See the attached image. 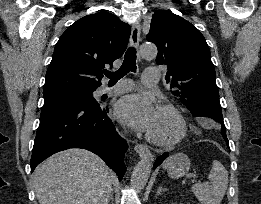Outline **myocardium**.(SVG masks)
<instances>
[{
	"mask_svg": "<svg viewBox=\"0 0 261 204\" xmlns=\"http://www.w3.org/2000/svg\"><path fill=\"white\" fill-rule=\"evenodd\" d=\"M157 108L161 110H165L173 115V117L176 119L177 126H178L177 132L174 136L167 139H160L154 137L149 132H147L146 134L147 140L152 144L161 147H169L179 143L185 137L187 132V123L185 117L176 106L170 103H160Z\"/></svg>",
	"mask_w": 261,
	"mask_h": 204,
	"instance_id": "obj_1",
	"label": "myocardium"
}]
</instances>
